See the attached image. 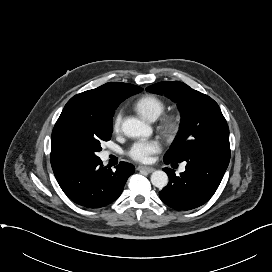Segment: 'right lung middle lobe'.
Masks as SVG:
<instances>
[{
    "mask_svg": "<svg viewBox=\"0 0 272 272\" xmlns=\"http://www.w3.org/2000/svg\"><path fill=\"white\" fill-rule=\"evenodd\" d=\"M112 118L107 120L83 119L60 128L57 141L61 151L74 163L83 164L99 159L101 143L110 140Z\"/></svg>",
    "mask_w": 272,
    "mask_h": 272,
    "instance_id": "1",
    "label": "right lung middle lobe"
}]
</instances>
